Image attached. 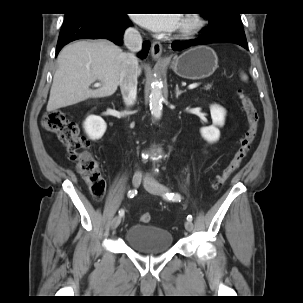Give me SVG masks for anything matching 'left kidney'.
Instances as JSON below:
<instances>
[{
	"label": "left kidney",
	"mask_w": 303,
	"mask_h": 303,
	"mask_svg": "<svg viewBox=\"0 0 303 303\" xmlns=\"http://www.w3.org/2000/svg\"><path fill=\"white\" fill-rule=\"evenodd\" d=\"M210 113L213 125L208 127H202L200 129V133L206 141L213 143L216 142L220 137V131L218 129V126L224 125L226 111L224 108L215 104L210 106Z\"/></svg>",
	"instance_id": "left-kidney-1"
}]
</instances>
